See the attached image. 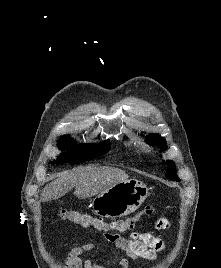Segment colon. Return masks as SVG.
Returning a JSON list of instances; mask_svg holds the SVG:
<instances>
[{
  "label": "colon",
  "mask_w": 221,
  "mask_h": 268,
  "mask_svg": "<svg viewBox=\"0 0 221 268\" xmlns=\"http://www.w3.org/2000/svg\"><path fill=\"white\" fill-rule=\"evenodd\" d=\"M154 212V207L147 206L133 216L124 219L106 221L101 217H97L78 210L62 209L58 211V216L72 224L79 225L83 228H92L102 232H120L133 230L136 224L144 216H149Z\"/></svg>",
  "instance_id": "1"
}]
</instances>
